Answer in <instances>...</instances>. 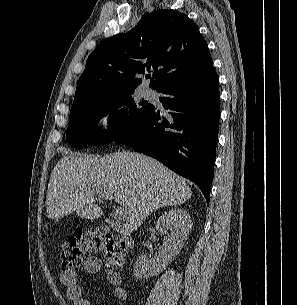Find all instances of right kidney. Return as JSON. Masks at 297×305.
Segmentation results:
<instances>
[{"instance_id":"1","label":"right kidney","mask_w":297,"mask_h":305,"mask_svg":"<svg viewBox=\"0 0 297 305\" xmlns=\"http://www.w3.org/2000/svg\"><path fill=\"white\" fill-rule=\"evenodd\" d=\"M193 222L190 215L183 209L174 208L164 212L156 222V230L161 235L170 233L164 237L161 252L148 260L141 255L134 266L133 274L136 279H148L159 275L179 254L185 240L192 228Z\"/></svg>"}]
</instances>
